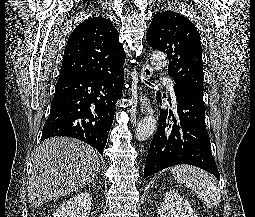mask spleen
I'll return each mask as SVG.
<instances>
[{"label": "spleen", "instance_id": "1", "mask_svg": "<svg viewBox=\"0 0 255 217\" xmlns=\"http://www.w3.org/2000/svg\"><path fill=\"white\" fill-rule=\"evenodd\" d=\"M174 177L194 191L208 208L221 202L220 189L214 177L204 170L190 165H179L171 169Z\"/></svg>", "mask_w": 255, "mask_h": 217}]
</instances>
